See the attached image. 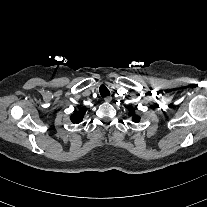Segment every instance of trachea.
Wrapping results in <instances>:
<instances>
[{
    "mask_svg": "<svg viewBox=\"0 0 207 207\" xmlns=\"http://www.w3.org/2000/svg\"><path fill=\"white\" fill-rule=\"evenodd\" d=\"M99 91H100V95L102 97L110 95V91L108 90V88L105 85H101L99 87Z\"/></svg>",
    "mask_w": 207,
    "mask_h": 207,
    "instance_id": "obj_1",
    "label": "trachea"
}]
</instances>
